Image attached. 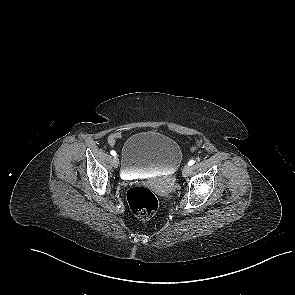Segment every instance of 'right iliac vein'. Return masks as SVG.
I'll return each instance as SVG.
<instances>
[{
    "label": "right iliac vein",
    "instance_id": "obj_1",
    "mask_svg": "<svg viewBox=\"0 0 295 295\" xmlns=\"http://www.w3.org/2000/svg\"><path fill=\"white\" fill-rule=\"evenodd\" d=\"M112 165L114 168H118L119 166V160L117 157H114L113 160H112Z\"/></svg>",
    "mask_w": 295,
    "mask_h": 295
}]
</instances>
